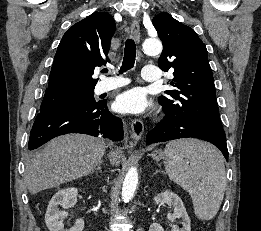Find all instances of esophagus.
I'll return each instance as SVG.
<instances>
[{
    "instance_id": "esophagus-1",
    "label": "esophagus",
    "mask_w": 261,
    "mask_h": 231,
    "mask_svg": "<svg viewBox=\"0 0 261 231\" xmlns=\"http://www.w3.org/2000/svg\"><path fill=\"white\" fill-rule=\"evenodd\" d=\"M130 33L136 42L140 41V27L136 18H134L131 22ZM131 132L133 140L137 142L144 132V124L140 119L132 120Z\"/></svg>"
}]
</instances>
